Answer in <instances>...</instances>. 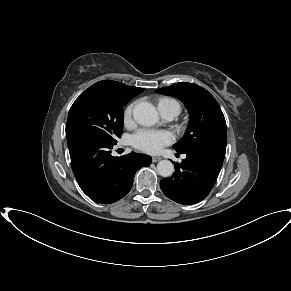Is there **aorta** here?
Wrapping results in <instances>:
<instances>
[{"mask_svg": "<svg viewBox=\"0 0 291 291\" xmlns=\"http://www.w3.org/2000/svg\"><path fill=\"white\" fill-rule=\"evenodd\" d=\"M134 120L142 126H152L158 122V112L149 102H139L133 109ZM157 172L162 177H169L174 172V165L169 160H161L157 164Z\"/></svg>", "mask_w": 291, "mask_h": 291, "instance_id": "obj_1", "label": "aorta"}]
</instances>
